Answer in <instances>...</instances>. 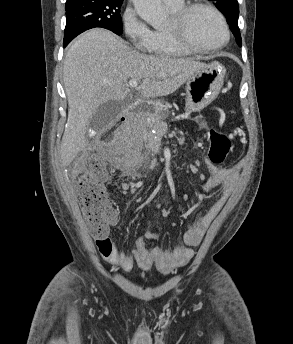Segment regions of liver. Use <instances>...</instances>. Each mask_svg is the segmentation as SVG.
Masks as SVG:
<instances>
[{"label":"liver","instance_id":"obj_1","mask_svg":"<svg viewBox=\"0 0 293 344\" xmlns=\"http://www.w3.org/2000/svg\"><path fill=\"white\" fill-rule=\"evenodd\" d=\"M204 66L190 58L142 54L104 29L80 35L68 49L63 65L69 105L60 147L63 166L85 149L87 125L96 110L107 101L127 98L129 79L142 81L139 94L151 99L174 93Z\"/></svg>","mask_w":293,"mask_h":344}]
</instances>
